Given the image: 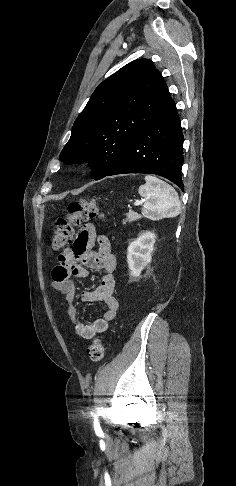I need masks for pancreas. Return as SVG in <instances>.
Masks as SVG:
<instances>
[{
	"label": "pancreas",
	"mask_w": 236,
	"mask_h": 486,
	"mask_svg": "<svg viewBox=\"0 0 236 486\" xmlns=\"http://www.w3.org/2000/svg\"><path fill=\"white\" fill-rule=\"evenodd\" d=\"M127 218L123 220V224L125 225L127 222L131 223L132 221H136L137 219L141 218V215L134 212V211H129L126 214Z\"/></svg>",
	"instance_id": "obj_1"
}]
</instances>
